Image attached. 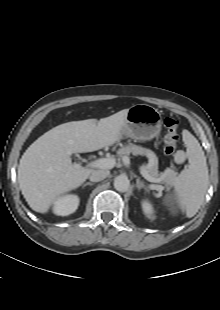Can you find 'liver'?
Returning <instances> with one entry per match:
<instances>
[{"mask_svg": "<svg viewBox=\"0 0 220 310\" xmlns=\"http://www.w3.org/2000/svg\"><path fill=\"white\" fill-rule=\"evenodd\" d=\"M128 109L109 117L58 125L33 142L18 166L19 188L30 208L47 213L63 194L78 188L92 169L73 164V153L109 147L122 137Z\"/></svg>", "mask_w": 220, "mask_h": 310, "instance_id": "1", "label": "liver"}]
</instances>
